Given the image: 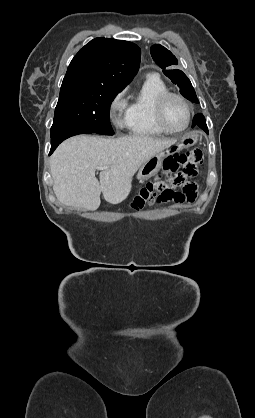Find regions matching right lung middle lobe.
<instances>
[{"mask_svg": "<svg viewBox=\"0 0 255 418\" xmlns=\"http://www.w3.org/2000/svg\"><path fill=\"white\" fill-rule=\"evenodd\" d=\"M122 89L84 85H62L55 108L51 137L67 131L113 135L110 105Z\"/></svg>", "mask_w": 255, "mask_h": 418, "instance_id": "1", "label": "right lung middle lobe"}]
</instances>
